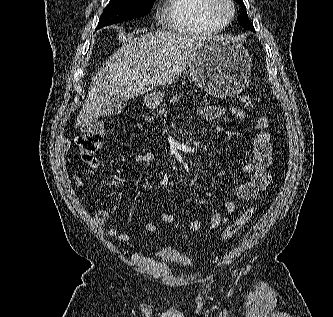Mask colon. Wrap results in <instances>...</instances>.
I'll return each mask as SVG.
<instances>
[{"label":"colon","instance_id":"5ec220e1","mask_svg":"<svg viewBox=\"0 0 333 317\" xmlns=\"http://www.w3.org/2000/svg\"><path fill=\"white\" fill-rule=\"evenodd\" d=\"M239 102L245 107H252L253 100L249 95H241ZM103 132L100 127L93 126L85 131L76 139V144L79 147L82 158L85 161H91L95 153L100 149L103 143ZM256 208L254 206L248 207L243 214L232 224L227 226L221 234V238L226 240L235 236L243 227H245L255 215ZM177 228L176 221L172 224Z\"/></svg>","mask_w":333,"mask_h":317}]
</instances>
